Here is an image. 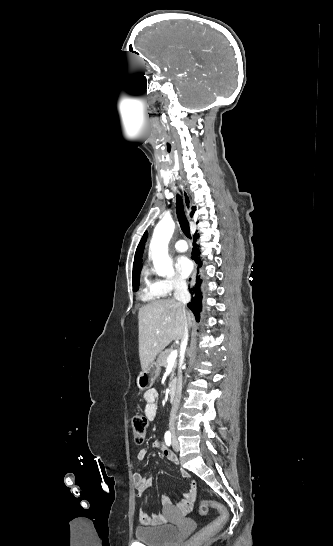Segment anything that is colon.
<instances>
[{"label": "colon", "mask_w": 333, "mask_h": 546, "mask_svg": "<svg viewBox=\"0 0 333 546\" xmlns=\"http://www.w3.org/2000/svg\"><path fill=\"white\" fill-rule=\"evenodd\" d=\"M148 428V421L144 415H135L132 419V434L135 442L142 443L145 439ZM210 509H214L218 512V517L210 524L200 530L192 539L182 546H192V543L196 539L204 538L212 535L220 528H222L229 518V512L227 508L219 502L204 500L200 503L199 511L201 515H206Z\"/></svg>", "instance_id": "5ec220e1"}]
</instances>
